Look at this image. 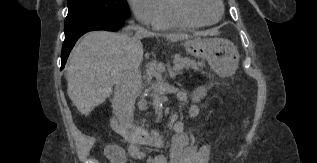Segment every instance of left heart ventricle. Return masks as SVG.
I'll return each mask as SVG.
<instances>
[{
    "mask_svg": "<svg viewBox=\"0 0 317 163\" xmlns=\"http://www.w3.org/2000/svg\"><path fill=\"white\" fill-rule=\"evenodd\" d=\"M185 8L191 17L204 21L214 20L220 13L217 0H186Z\"/></svg>",
    "mask_w": 317,
    "mask_h": 163,
    "instance_id": "left-heart-ventricle-1",
    "label": "left heart ventricle"
}]
</instances>
